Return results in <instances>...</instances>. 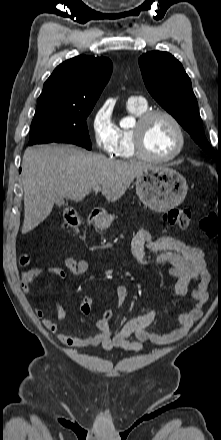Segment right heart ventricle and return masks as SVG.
Returning a JSON list of instances; mask_svg holds the SVG:
<instances>
[{"instance_id": "right-heart-ventricle-1", "label": "right heart ventricle", "mask_w": 221, "mask_h": 440, "mask_svg": "<svg viewBox=\"0 0 221 440\" xmlns=\"http://www.w3.org/2000/svg\"><path fill=\"white\" fill-rule=\"evenodd\" d=\"M128 111L134 115L139 116L147 110L146 103H138V102H128ZM119 132V142L114 153L119 159H131L136 156L133 142H132V132L131 129L127 128H118Z\"/></svg>"}]
</instances>
